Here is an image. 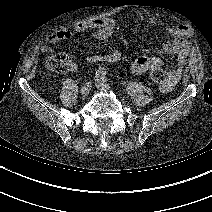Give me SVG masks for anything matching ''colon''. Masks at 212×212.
<instances>
[{
	"mask_svg": "<svg viewBox=\"0 0 212 212\" xmlns=\"http://www.w3.org/2000/svg\"><path fill=\"white\" fill-rule=\"evenodd\" d=\"M45 65L48 69L58 73L74 72L78 69L77 59L65 53L51 54L45 59ZM149 77L152 81L160 84L166 80L165 72L161 66L152 68Z\"/></svg>",
	"mask_w": 212,
	"mask_h": 212,
	"instance_id": "colon-1",
	"label": "colon"
}]
</instances>
